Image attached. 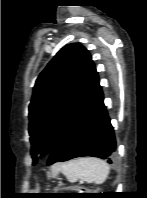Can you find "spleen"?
Returning <instances> with one entry per match:
<instances>
[{"label": "spleen", "mask_w": 147, "mask_h": 198, "mask_svg": "<svg viewBox=\"0 0 147 198\" xmlns=\"http://www.w3.org/2000/svg\"><path fill=\"white\" fill-rule=\"evenodd\" d=\"M109 165L98 158L83 157L61 165L60 171L71 183L85 179L89 183L102 184L109 174Z\"/></svg>", "instance_id": "3e777b00"}]
</instances>
